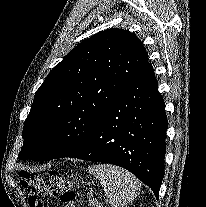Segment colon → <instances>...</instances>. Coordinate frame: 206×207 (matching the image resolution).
<instances>
[{
  "mask_svg": "<svg viewBox=\"0 0 206 207\" xmlns=\"http://www.w3.org/2000/svg\"><path fill=\"white\" fill-rule=\"evenodd\" d=\"M21 184L30 195L31 207H43V198H59L65 206L77 203V192L71 182L55 170L21 173Z\"/></svg>",
  "mask_w": 206,
  "mask_h": 207,
  "instance_id": "1",
  "label": "colon"
}]
</instances>
